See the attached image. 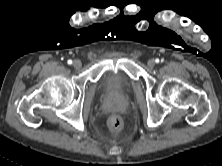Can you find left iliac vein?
<instances>
[{"label": "left iliac vein", "mask_w": 222, "mask_h": 166, "mask_svg": "<svg viewBox=\"0 0 222 166\" xmlns=\"http://www.w3.org/2000/svg\"><path fill=\"white\" fill-rule=\"evenodd\" d=\"M154 65H155L154 60H149V61H148V66H149L150 68H153Z\"/></svg>", "instance_id": "4c4485c4"}]
</instances>
